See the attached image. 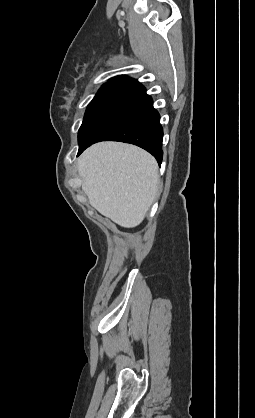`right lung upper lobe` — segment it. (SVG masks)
<instances>
[{
	"label": "right lung upper lobe",
	"mask_w": 255,
	"mask_h": 418,
	"mask_svg": "<svg viewBox=\"0 0 255 418\" xmlns=\"http://www.w3.org/2000/svg\"><path fill=\"white\" fill-rule=\"evenodd\" d=\"M137 83L138 81L132 78L126 76H117L110 79L109 82L104 85L119 86L125 89Z\"/></svg>",
	"instance_id": "1"
}]
</instances>
